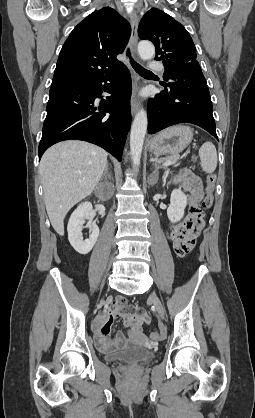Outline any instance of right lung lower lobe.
Masks as SVG:
<instances>
[{"label":"right lung lower lobe","instance_id":"98d812e1","mask_svg":"<svg viewBox=\"0 0 255 418\" xmlns=\"http://www.w3.org/2000/svg\"><path fill=\"white\" fill-rule=\"evenodd\" d=\"M131 90L125 66L107 76L52 84L39 158L53 144L75 139L96 144L121 161L131 125ZM103 92L111 96L98 104L96 99Z\"/></svg>","mask_w":255,"mask_h":418}]
</instances>
